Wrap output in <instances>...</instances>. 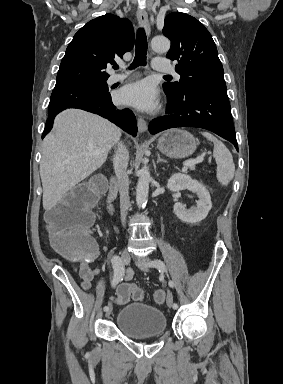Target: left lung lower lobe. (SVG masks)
Here are the masks:
<instances>
[{
	"label": "left lung lower lobe",
	"mask_w": 283,
	"mask_h": 384,
	"mask_svg": "<svg viewBox=\"0 0 283 384\" xmlns=\"http://www.w3.org/2000/svg\"><path fill=\"white\" fill-rule=\"evenodd\" d=\"M166 95V115L151 121V134L175 127H199L225 138L238 150L226 90L187 89L181 95Z\"/></svg>",
	"instance_id": "left-lung-lower-lobe-1"
}]
</instances>
